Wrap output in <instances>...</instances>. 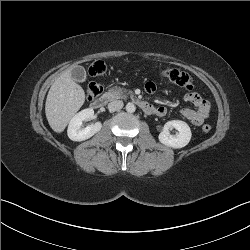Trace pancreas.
<instances>
[{
    "label": "pancreas",
    "instance_id": "1",
    "mask_svg": "<svg viewBox=\"0 0 250 250\" xmlns=\"http://www.w3.org/2000/svg\"><path fill=\"white\" fill-rule=\"evenodd\" d=\"M127 94H132V92L118 86L112 87L108 91L111 99H125Z\"/></svg>",
    "mask_w": 250,
    "mask_h": 250
}]
</instances>
